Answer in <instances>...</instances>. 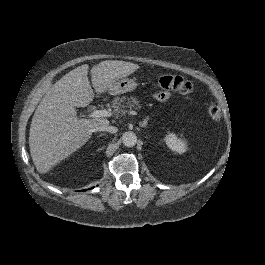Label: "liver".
<instances>
[{"label":"liver","mask_w":265,"mask_h":265,"mask_svg":"<svg viewBox=\"0 0 265 265\" xmlns=\"http://www.w3.org/2000/svg\"><path fill=\"white\" fill-rule=\"evenodd\" d=\"M125 61H103L91 70L98 95L107 93L110 84L138 69ZM82 65L64 75L46 92L33 115L29 133L32 160L40 173L68 156L88 140L94 128L108 123L104 118L76 117L75 106L88 105L95 94Z\"/></svg>","instance_id":"1"}]
</instances>
